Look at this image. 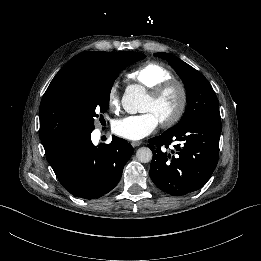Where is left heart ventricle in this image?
<instances>
[{"label":"left heart ventricle","instance_id":"1","mask_svg":"<svg viewBox=\"0 0 261 261\" xmlns=\"http://www.w3.org/2000/svg\"><path fill=\"white\" fill-rule=\"evenodd\" d=\"M179 93L171 91L160 100L154 102L149 97L146 99L142 111L153 112L159 121L169 118L177 109L179 104Z\"/></svg>","mask_w":261,"mask_h":261}]
</instances>
